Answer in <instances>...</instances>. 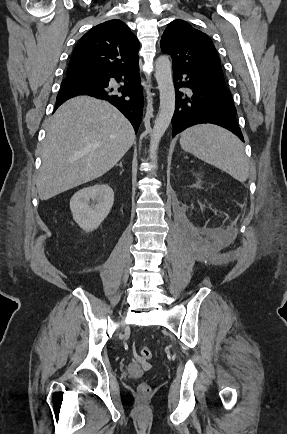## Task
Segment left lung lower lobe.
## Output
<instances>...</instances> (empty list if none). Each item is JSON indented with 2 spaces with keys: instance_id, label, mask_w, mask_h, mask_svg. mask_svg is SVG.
Returning <instances> with one entry per match:
<instances>
[{
  "instance_id": "left-lung-lower-lobe-1",
  "label": "left lung lower lobe",
  "mask_w": 287,
  "mask_h": 434,
  "mask_svg": "<svg viewBox=\"0 0 287 434\" xmlns=\"http://www.w3.org/2000/svg\"><path fill=\"white\" fill-rule=\"evenodd\" d=\"M186 81H182V75ZM176 88V105L172 118L173 137L184 129L202 123L222 126L244 141L236 120V108L227 86L219 84L205 75L181 67L173 66ZM189 87L192 95L179 92V88Z\"/></svg>"
}]
</instances>
